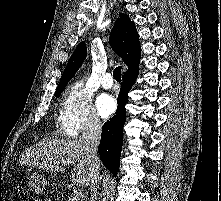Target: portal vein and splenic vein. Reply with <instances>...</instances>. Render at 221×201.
Returning <instances> with one entry per match:
<instances>
[{
	"instance_id": "portal-vein-and-splenic-vein-1",
	"label": "portal vein and splenic vein",
	"mask_w": 221,
	"mask_h": 201,
	"mask_svg": "<svg viewBox=\"0 0 221 201\" xmlns=\"http://www.w3.org/2000/svg\"><path fill=\"white\" fill-rule=\"evenodd\" d=\"M81 199H82V193L78 192L71 197L70 201H80Z\"/></svg>"
}]
</instances>
